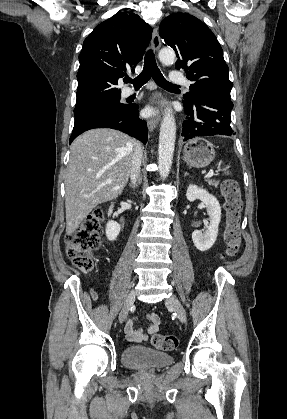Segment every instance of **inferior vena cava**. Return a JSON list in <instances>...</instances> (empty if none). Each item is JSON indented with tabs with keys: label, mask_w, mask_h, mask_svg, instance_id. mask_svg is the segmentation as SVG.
I'll use <instances>...</instances> for the list:
<instances>
[{
	"label": "inferior vena cava",
	"mask_w": 287,
	"mask_h": 419,
	"mask_svg": "<svg viewBox=\"0 0 287 419\" xmlns=\"http://www.w3.org/2000/svg\"><path fill=\"white\" fill-rule=\"evenodd\" d=\"M142 161V148L140 143L136 144V149L132 156L130 178L132 184L135 186L140 177V166Z\"/></svg>",
	"instance_id": "obj_1"
}]
</instances>
